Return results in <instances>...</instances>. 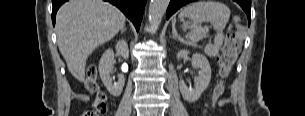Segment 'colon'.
<instances>
[{"label":"colon","mask_w":305,"mask_h":116,"mask_svg":"<svg viewBox=\"0 0 305 116\" xmlns=\"http://www.w3.org/2000/svg\"><path fill=\"white\" fill-rule=\"evenodd\" d=\"M240 50V39L236 32L230 30L227 33L223 48L218 56V65L221 79L216 83L212 92V100L216 102L224 93V82L232 70ZM98 71L95 66H90L87 70L85 85L88 91L95 96L92 108L82 114V116H100L107 111V97L100 89L97 80Z\"/></svg>","instance_id":"1"}]
</instances>
